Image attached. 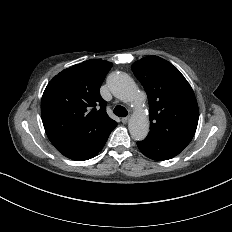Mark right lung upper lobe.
Here are the masks:
<instances>
[{
  "label": "right lung upper lobe",
  "mask_w": 232,
  "mask_h": 232,
  "mask_svg": "<svg viewBox=\"0 0 232 232\" xmlns=\"http://www.w3.org/2000/svg\"><path fill=\"white\" fill-rule=\"evenodd\" d=\"M112 63L90 59L56 75L41 101L46 134L56 147H77L98 142L117 122L106 112L100 87Z\"/></svg>",
  "instance_id": "right-lung-upper-lobe-1"
}]
</instances>
